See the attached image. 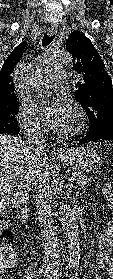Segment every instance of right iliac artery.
Instances as JSON below:
<instances>
[{
    "label": "right iliac artery",
    "mask_w": 113,
    "mask_h": 279,
    "mask_svg": "<svg viewBox=\"0 0 113 279\" xmlns=\"http://www.w3.org/2000/svg\"><path fill=\"white\" fill-rule=\"evenodd\" d=\"M36 276H37V272H33V273H30L26 278L27 279H34V278H36Z\"/></svg>",
    "instance_id": "obj_1"
}]
</instances>
